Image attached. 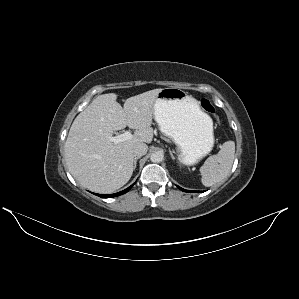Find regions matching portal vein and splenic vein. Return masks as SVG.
I'll use <instances>...</instances> for the list:
<instances>
[{
	"label": "portal vein and splenic vein",
	"instance_id": "portal-vein-and-splenic-vein-1",
	"mask_svg": "<svg viewBox=\"0 0 299 299\" xmlns=\"http://www.w3.org/2000/svg\"><path fill=\"white\" fill-rule=\"evenodd\" d=\"M133 138V135L130 131H125L123 134L109 137V141L113 142L114 144H118L123 141H127Z\"/></svg>",
	"mask_w": 299,
	"mask_h": 299
}]
</instances>
